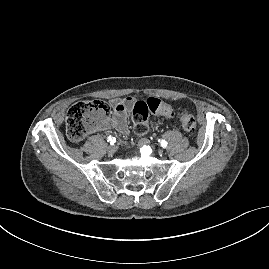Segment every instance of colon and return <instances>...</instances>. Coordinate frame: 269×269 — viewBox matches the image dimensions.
I'll return each instance as SVG.
<instances>
[{"instance_id": "1", "label": "colon", "mask_w": 269, "mask_h": 269, "mask_svg": "<svg viewBox=\"0 0 269 269\" xmlns=\"http://www.w3.org/2000/svg\"><path fill=\"white\" fill-rule=\"evenodd\" d=\"M108 113V105L101 100L75 103L70 107L66 116V131L69 139L82 140L88 133L104 123ZM151 113H159L164 116L176 115L185 132L191 136L196 133V121L191 111L183 108L174 109L156 98H149L134 104L132 119L137 134L142 135L147 131V119Z\"/></svg>"}]
</instances>
